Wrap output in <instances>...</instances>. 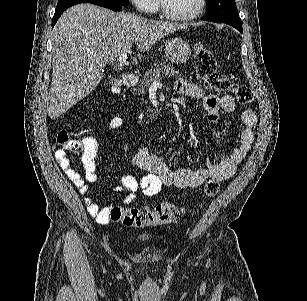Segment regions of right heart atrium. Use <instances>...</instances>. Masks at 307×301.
Listing matches in <instances>:
<instances>
[{
    "instance_id": "1",
    "label": "right heart atrium",
    "mask_w": 307,
    "mask_h": 301,
    "mask_svg": "<svg viewBox=\"0 0 307 301\" xmlns=\"http://www.w3.org/2000/svg\"><path fill=\"white\" fill-rule=\"evenodd\" d=\"M138 11H154L155 6L152 0H134Z\"/></svg>"
}]
</instances>
